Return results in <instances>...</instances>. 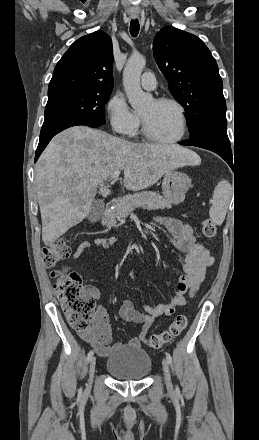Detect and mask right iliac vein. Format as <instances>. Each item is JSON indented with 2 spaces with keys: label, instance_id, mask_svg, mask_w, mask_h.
Returning a JSON list of instances; mask_svg holds the SVG:
<instances>
[{
  "label": "right iliac vein",
  "instance_id": "right-iliac-vein-1",
  "mask_svg": "<svg viewBox=\"0 0 259 440\" xmlns=\"http://www.w3.org/2000/svg\"><path fill=\"white\" fill-rule=\"evenodd\" d=\"M95 367H96V358L92 357L90 360L89 365V380H88V386L90 387L93 381L94 373H95Z\"/></svg>",
  "mask_w": 259,
  "mask_h": 440
}]
</instances>
